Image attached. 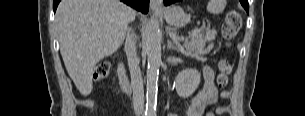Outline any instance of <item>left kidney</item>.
<instances>
[{"label": "left kidney", "instance_id": "1", "mask_svg": "<svg viewBox=\"0 0 305 116\" xmlns=\"http://www.w3.org/2000/svg\"><path fill=\"white\" fill-rule=\"evenodd\" d=\"M201 75L196 69H185L181 71L176 79V91L182 98L190 97L198 88Z\"/></svg>", "mask_w": 305, "mask_h": 116}]
</instances>
